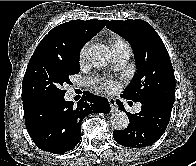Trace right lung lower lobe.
<instances>
[{"instance_id":"obj_1","label":"right lung lower lobe","mask_w":196,"mask_h":166,"mask_svg":"<svg viewBox=\"0 0 196 166\" xmlns=\"http://www.w3.org/2000/svg\"><path fill=\"white\" fill-rule=\"evenodd\" d=\"M26 129L42 150L61 154L74 149L81 140V122L93 112L109 113L106 98L85 92L77 106L56 98L23 101Z\"/></svg>"}]
</instances>
